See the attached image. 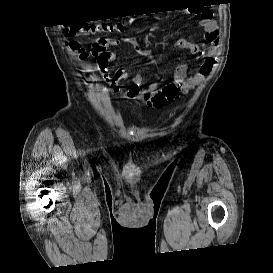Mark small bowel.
Masks as SVG:
<instances>
[{"mask_svg":"<svg viewBox=\"0 0 273 273\" xmlns=\"http://www.w3.org/2000/svg\"><path fill=\"white\" fill-rule=\"evenodd\" d=\"M199 24L204 31L203 43L198 44L187 39H177L170 45L172 50H187L202 59L196 73L189 75L187 64L179 63L175 67L172 80L161 89H157L154 85L141 89L146 78L143 74H137L130 80L124 92L127 100H140L150 108L161 109L167 103L174 101L180 94H186L194 89L212 72L219 51V27L209 12L202 13ZM73 34L76 35V33ZM121 43L128 45L135 53L147 56V53L141 50L133 37L122 39L102 37L96 40L90 49V53L97 59L99 69L114 93L119 92V83L128 80L125 70H117L113 75L108 74L110 62L117 58V54L110 48Z\"/></svg>","mask_w":273,"mask_h":273,"instance_id":"obj_1","label":"small bowel"}]
</instances>
